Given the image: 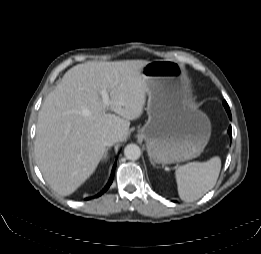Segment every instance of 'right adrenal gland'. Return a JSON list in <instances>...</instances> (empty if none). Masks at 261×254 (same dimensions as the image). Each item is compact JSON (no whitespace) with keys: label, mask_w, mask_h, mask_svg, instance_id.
I'll return each mask as SVG.
<instances>
[{"label":"right adrenal gland","mask_w":261,"mask_h":254,"mask_svg":"<svg viewBox=\"0 0 261 254\" xmlns=\"http://www.w3.org/2000/svg\"><path fill=\"white\" fill-rule=\"evenodd\" d=\"M109 149H110V148H107V149H106V152H105V154H104V156H103V159H102L103 162L108 160V150H109Z\"/></svg>","instance_id":"right-adrenal-gland-1"}]
</instances>
